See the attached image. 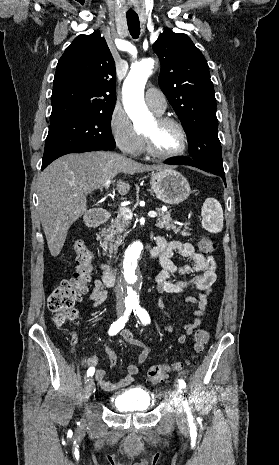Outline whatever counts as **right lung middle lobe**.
Instances as JSON below:
<instances>
[{"instance_id": "dd1d6c3e", "label": "right lung middle lobe", "mask_w": 279, "mask_h": 465, "mask_svg": "<svg viewBox=\"0 0 279 465\" xmlns=\"http://www.w3.org/2000/svg\"><path fill=\"white\" fill-rule=\"evenodd\" d=\"M113 109L97 111L50 124L43 165L88 146H114L110 123Z\"/></svg>"}]
</instances>
